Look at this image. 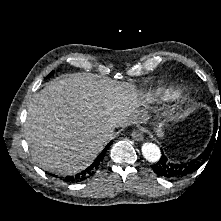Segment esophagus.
Returning <instances> with one entry per match:
<instances>
[{"instance_id": "34e87169", "label": "esophagus", "mask_w": 221, "mask_h": 221, "mask_svg": "<svg viewBox=\"0 0 221 221\" xmlns=\"http://www.w3.org/2000/svg\"><path fill=\"white\" fill-rule=\"evenodd\" d=\"M131 136H132V138H133L134 140H136V141H142L143 138H144L142 132L139 131V130L133 131L132 134H131Z\"/></svg>"}]
</instances>
